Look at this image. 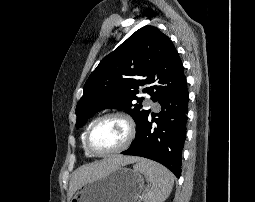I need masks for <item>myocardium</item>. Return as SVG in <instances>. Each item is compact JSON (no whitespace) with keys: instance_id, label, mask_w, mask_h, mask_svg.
<instances>
[{"instance_id":"f54148a6","label":"myocardium","mask_w":255,"mask_h":202,"mask_svg":"<svg viewBox=\"0 0 255 202\" xmlns=\"http://www.w3.org/2000/svg\"><path fill=\"white\" fill-rule=\"evenodd\" d=\"M111 118L120 119L121 121L124 122V124L126 125V128H127L126 139L118 148H116L114 150H111L108 152H97L92 148V146L90 144L91 133H92L93 129L99 123H101L104 120L111 119ZM136 131H137L136 123L130 115H128L124 112H121V111L110 112V113H107V114H104V115L98 117L96 120H94L90 124V126L88 127V129L85 133L84 144H85L87 151L94 156H98V157L111 156V155H115V154H118V153L126 150L131 145L133 140L135 139Z\"/></svg>"}]
</instances>
